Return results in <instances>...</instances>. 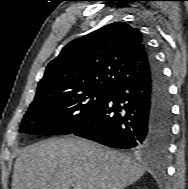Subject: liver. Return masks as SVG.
<instances>
[{"instance_id":"1","label":"liver","mask_w":188,"mask_h":189,"mask_svg":"<svg viewBox=\"0 0 188 189\" xmlns=\"http://www.w3.org/2000/svg\"><path fill=\"white\" fill-rule=\"evenodd\" d=\"M145 168L126 155L74 137L52 138L24 148L16 159L12 189H123Z\"/></svg>"}]
</instances>
